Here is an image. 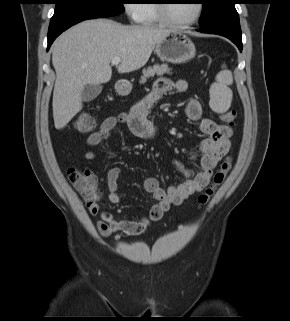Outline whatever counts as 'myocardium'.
Returning a JSON list of instances; mask_svg holds the SVG:
<instances>
[{
  "instance_id": "obj_1",
  "label": "myocardium",
  "mask_w": 290,
  "mask_h": 321,
  "mask_svg": "<svg viewBox=\"0 0 290 321\" xmlns=\"http://www.w3.org/2000/svg\"><path fill=\"white\" fill-rule=\"evenodd\" d=\"M169 1L170 0H156V3H155L157 14H158L159 18L161 19V21L165 25L170 26V27L184 28V27H188V26L195 24L199 20V18L201 17V14L203 12V4L201 3V1L198 0L196 2L197 3L196 13L192 19L185 21V22L174 21L168 15V2Z\"/></svg>"
}]
</instances>
